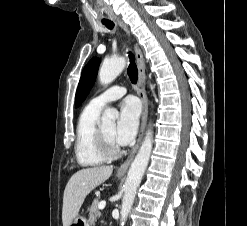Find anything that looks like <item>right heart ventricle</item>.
Segmentation results:
<instances>
[{
    "instance_id": "e07e8e85",
    "label": "right heart ventricle",
    "mask_w": 247,
    "mask_h": 226,
    "mask_svg": "<svg viewBox=\"0 0 247 226\" xmlns=\"http://www.w3.org/2000/svg\"><path fill=\"white\" fill-rule=\"evenodd\" d=\"M100 113V109L87 105L78 120L75 155L77 162L83 167L96 166L104 161L95 146V134Z\"/></svg>"
}]
</instances>
